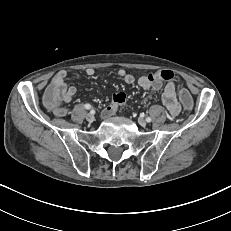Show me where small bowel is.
<instances>
[{"mask_svg":"<svg viewBox=\"0 0 231 231\" xmlns=\"http://www.w3.org/2000/svg\"><path fill=\"white\" fill-rule=\"evenodd\" d=\"M95 70L93 68L85 69V74L88 77L93 76ZM118 77L126 84H132L137 82V84L144 90L158 91L162 88V82L156 77L155 73H148L145 75H140L135 77L132 73L120 69L117 72ZM67 72L65 70L59 71L52 79L51 84H57L59 86V93L55 95L56 104L49 108L56 116H64L67 113V109L62 106V103H69L72 101L74 95L76 94V87L69 86L66 82ZM148 98H144L142 102H146ZM178 96L176 93V85L173 81L168 82L164 86L162 93V102L168 109L171 116L175 117L179 114L181 106L178 101ZM117 107L112 103L106 107L103 111L104 116H111L115 113Z\"/></svg>","mask_w":231,"mask_h":231,"instance_id":"obj_1","label":"small bowel"}]
</instances>
